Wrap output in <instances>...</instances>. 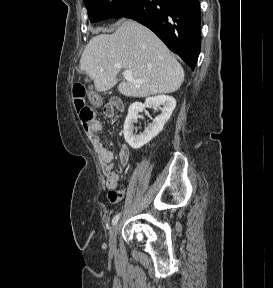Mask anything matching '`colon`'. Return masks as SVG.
<instances>
[{"instance_id":"colon-1","label":"colon","mask_w":273,"mask_h":288,"mask_svg":"<svg viewBox=\"0 0 273 288\" xmlns=\"http://www.w3.org/2000/svg\"><path fill=\"white\" fill-rule=\"evenodd\" d=\"M73 101L76 106L80 120L85 128H88L94 119L93 110L86 104V90L81 85H75L72 90ZM93 102L99 104L97 97H93Z\"/></svg>"}]
</instances>
